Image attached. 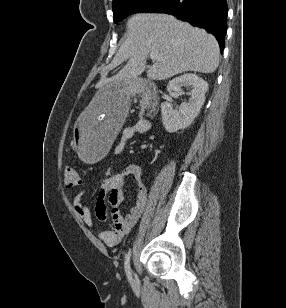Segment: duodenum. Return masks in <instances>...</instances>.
<instances>
[{
    "instance_id": "1",
    "label": "duodenum",
    "mask_w": 286,
    "mask_h": 308,
    "mask_svg": "<svg viewBox=\"0 0 286 308\" xmlns=\"http://www.w3.org/2000/svg\"><path fill=\"white\" fill-rule=\"evenodd\" d=\"M133 89L137 92H144L149 101V112L154 116L159 109V95L157 85L149 79L138 78L133 82Z\"/></svg>"
}]
</instances>
